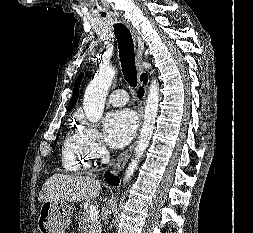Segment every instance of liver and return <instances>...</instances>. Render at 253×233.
<instances>
[{"label": "liver", "instance_id": "liver-1", "mask_svg": "<svg viewBox=\"0 0 253 233\" xmlns=\"http://www.w3.org/2000/svg\"><path fill=\"white\" fill-rule=\"evenodd\" d=\"M100 181L94 176H70L54 174L43 184L38 200L56 202L90 201L99 196Z\"/></svg>", "mask_w": 253, "mask_h": 233}]
</instances>
